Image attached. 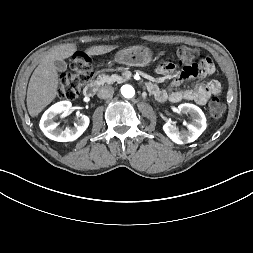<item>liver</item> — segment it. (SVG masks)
<instances>
[{
    "label": "liver",
    "mask_w": 253,
    "mask_h": 253,
    "mask_svg": "<svg viewBox=\"0 0 253 253\" xmlns=\"http://www.w3.org/2000/svg\"><path fill=\"white\" fill-rule=\"evenodd\" d=\"M112 45L92 46L89 55H102L115 49ZM77 50L75 44H62L49 51L34 70L27 90V109L31 117L37 116L58 94L56 60L69 58Z\"/></svg>",
    "instance_id": "liver-1"
}]
</instances>
